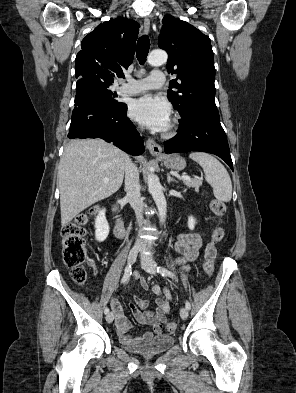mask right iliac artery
<instances>
[{
	"label": "right iliac artery",
	"instance_id": "1",
	"mask_svg": "<svg viewBox=\"0 0 296 393\" xmlns=\"http://www.w3.org/2000/svg\"><path fill=\"white\" fill-rule=\"evenodd\" d=\"M131 274H132L131 265H129V266H127V267L125 268V272H124V275H123V277H122L121 283H124V282H126L127 280H129ZM104 313H105V314H108V313H109V308H108V307H105V308H104Z\"/></svg>",
	"mask_w": 296,
	"mask_h": 393
}]
</instances>
